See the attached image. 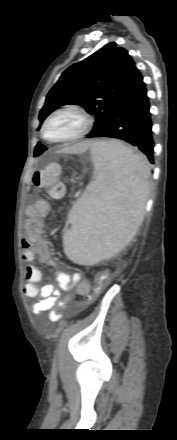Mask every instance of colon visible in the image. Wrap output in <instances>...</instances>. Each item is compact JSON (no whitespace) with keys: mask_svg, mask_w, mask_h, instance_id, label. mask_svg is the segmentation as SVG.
I'll return each instance as SVG.
<instances>
[{"mask_svg":"<svg viewBox=\"0 0 177 440\" xmlns=\"http://www.w3.org/2000/svg\"><path fill=\"white\" fill-rule=\"evenodd\" d=\"M61 168L57 164H52L44 170L35 171L33 174V183L36 187L41 188L51 198H61L64 195L65 188L60 181ZM101 285L94 288L91 295H86L85 303L93 301L101 292ZM75 309H80V304H75Z\"/></svg>","mask_w":177,"mask_h":440,"instance_id":"obj_1","label":"colon"}]
</instances>
